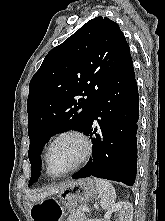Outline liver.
I'll list each match as a JSON object with an SVG mask.
<instances>
[{
  "label": "liver",
  "mask_w": 165,
  "mask_h": 221,
  "mask_svg": "<svg viewBox=\"0 0 165 221\" xmlns=\"http://www.w3.org/2000/svg\"><path fill=\"white\" fill-rule=\"evenodd\" d=\"M63 186H64V184L61 185L59 188H51V189H49L48 191H45L44 193L40 194L39 197H40V196H41V197H42V196H47V195L53 194V193H57ZM29 197H32V196L30 195Z\"/></svg>",
  "instance_id": "1"
}]
</instances>
